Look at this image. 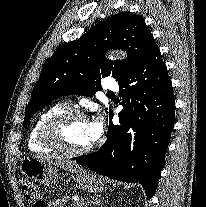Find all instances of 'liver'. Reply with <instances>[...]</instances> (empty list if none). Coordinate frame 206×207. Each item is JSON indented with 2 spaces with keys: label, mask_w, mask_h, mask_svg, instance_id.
I'll return each instance as SVG.
<instances>
[{
  "label": "liver",
  "mask_w": 206,
  "mask_h": 207,
  "mask_svg": "<svg viewBox=\"0 0 206 207\" xmlns=\"http://www.w3.org/2000/svg\"><path fill=\"white\" fill-rule=\"evenodd\" d=\"M36 159H39L41 161H47L55 164L56 166H60V168L65 169L67 171H70L72 173H76L78 171H82V167H80L78 164L72 161H65L62 160L58 156H53V155H41L35 157Z\"/></svg>",
  "instance_id": "6515ba94"
}]
</instances>
